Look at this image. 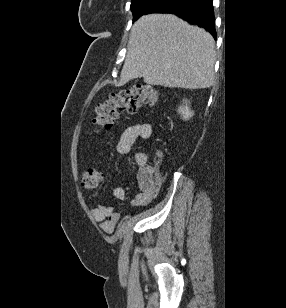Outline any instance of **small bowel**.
<instances>
[{"label": "small bowel", "instance_id": "small-bowel-1", "mask_svg": "<svg viewBox=\"0 0 286 308\" xmlns=\"http://www.w3.org/2000/svg\"><path fill=\"white\" fill-rule=\"evenodd\" d=\"M152 132L153 128L149 122H140L129 126L123 132L116 145L117 153L120 155L126 154L137 139H148L152 136ZM134 158L135 163L139 167L137 173L139 192L131 201V204L137 207H146L157 197L161 187V181L152 180L149 177L148 172L151 165L148 164L147 155L144 152H136ZM114 197L118 201H124L126 199L125 188L122 186L116 187L114 190ZM90 213L95 220L100 222L101 228L107 233L113 231L119 220V214L110 203L93 207Z\"/></svg>", "mask_w": 286, "mask_h": 308}]
</instances>
